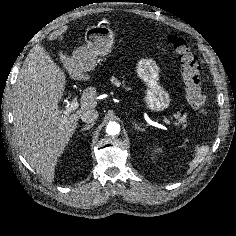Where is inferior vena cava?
Masks as SVG:
<instances>
[{
	"instance_id": "1",
	"label": "inferior vena cava",
	"mask_w": 236,
	"mask_h": 236,
	"mask_svg": "<svg viewBox=\"0 0 236 236\" xmlns=\"http://www.w3.org/2000/svg\"><path fill=\"white\" fill-rule=\"evenodd\" d=\"M99 116L96 109H87L80 114V119L85 123H93Z\"/></svg>"
}]
</instances>
